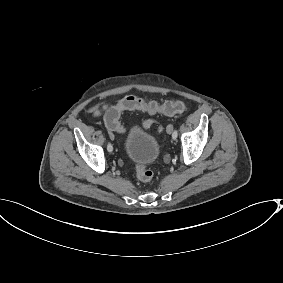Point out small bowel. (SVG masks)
I'll list each match as a JSON object with an SVG mask.
<instances>
[{
	"label": "small bowel",
	"mask_w": 283,
	"mask_h": 283,
	"mask_svg": "<svg viewBox=\"0 0 283 283\" xmlns=\"http://www.w3.org/2000/svg\"><path fill=\"white\" fill-rule=\"evenodd\" d=\"M109 108L108 103H100L89 109V113L93 116H99L103 111Z\"/></svg>",
	"instance_id": "small-bowel-1"
}]
</instances>
